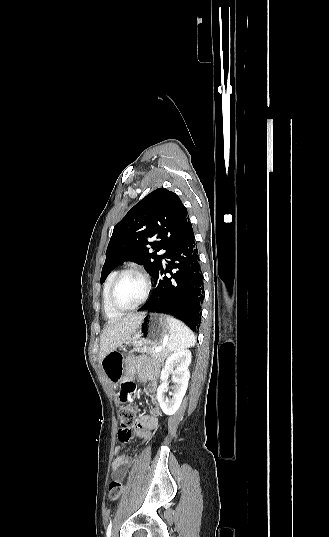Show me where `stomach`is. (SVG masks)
Segmentation results:
<instances>
[{
  "label": "stomach",
  "instance_id": "0dacf381",
  "mask_svg": "<svg viewBox=\"0 0 329 537\" xmlns=\"http://www.w3.org/2000/svg\"><path fill=\"white\" fill-rule=\"evenodd\" d=\"M170 335L169 317L159 313H144L143 318L129 341L135 346L160 345ZM107 378L113 384L122 377V354L111 351L100 362Z\"/></svg>",
  "mask_w": 329,
  "mask_h": 537
}]
</instances>
